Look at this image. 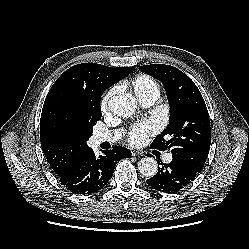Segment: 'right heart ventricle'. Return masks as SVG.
I'll return each mask as SVG.
<instances>
[{"instance_id":"1","label":"right heart ventricle","mask_w":249,"mask_h":249,"mask_svg":"<svg viewBox=\"0 0 249 249\" xmlns=\"http://www.w3.org/2000/svg\"><path fill=\"white\" fill-rule=\"evenodd\" d=\"M128 85L133 88L137 97L142 100L151 95L160 94L159 83L150 75L138 74L129 80Z\"/></svg>"}]
</instances>
